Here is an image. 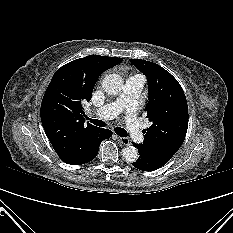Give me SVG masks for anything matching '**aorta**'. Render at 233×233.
<instances>
[{
    "label": "aorta",
    "instance_id": "1",
    "mask_svg": "<svg viewBox=\"0 0 233 233\" xmlns=\"http://www.w3.org/2000/svg\"><path fill=\"white\" fill-rule=\"evenodd\" d=\"M124 81L118 74H109L102 80V88L110 95H116L123 89ZM122 156L126 162H135L139 153L134 146H126L122 149Z\"/></svg>",
    "mask_w": 233,
    "mask_h": 233
}]
</instances>
